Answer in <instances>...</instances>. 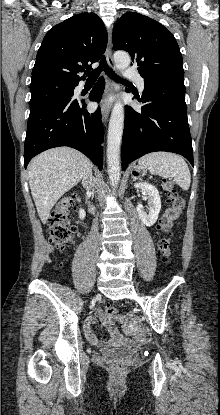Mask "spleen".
Masks as SVG:
<instances>
[{"label":"spleen","mask_w":220,"mask_h":415,"mask_svg":"<svg viewBox=\"0 0 220 415\" xmlns=\"http://www.w3.org/2000/svg\"><path fill=\"white\" fill-rule=\"evenodd\" d=\"M139 167L148 169L152 174L172 178L183 190H188L191 175L184 159L168 152H154L141 157Z\"/></svg>","instance_id":"3e777b00"}]
</instances>
